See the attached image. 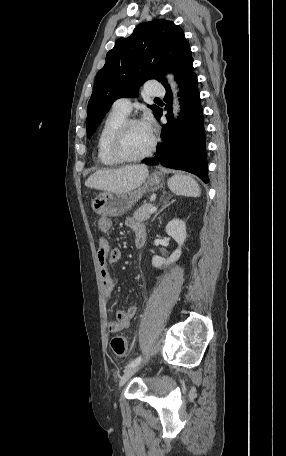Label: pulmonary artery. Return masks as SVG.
<instances>
[{
  "mask_svg": "<svg viewBox=\"0 0 286 456\" xmlns=\"http://www.w3.org/2000/svg\"><path fill=\"white\" fill-rule=\"evenodd\" d=\"M147 93L151 96H163L165 90L162 87L156 85L154 80L149 82ZM131 100L129 98H119L114 101L112 109L128 115L131 111Z\"/></svg>",
  "mask_w": 286,
  "mask_h": 456,
  "instance_id": "e3ab8cb5",
  "label": "pulmonary artery"
}]
</instances>
